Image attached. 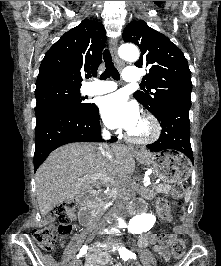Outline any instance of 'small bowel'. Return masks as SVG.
I'll return each instance as SVG.
<instances>
[{"label": "small bowel", "instance_id": "1", "mask_svg": "<svg viewBox=\"0 0 221 266\" xmlns=\"http://www.w3.org/2000/svg\"><path fill=\"white\" fill-rule=\"evenodd\" d=\"M180 231V227L176 228V232ZM174 238V234H172ZM141 248L146 247L148 243L154 244V251L156 254L164 260L169 259V251L166 245H162L158 242L157 237L153 233H146L139 240ZM112 260L108 254H90L86 260V266H110Z\"/></svg>", "mask_w": 221, "mask_h": 266}]
</instances>
